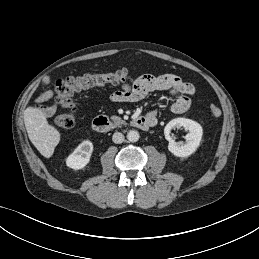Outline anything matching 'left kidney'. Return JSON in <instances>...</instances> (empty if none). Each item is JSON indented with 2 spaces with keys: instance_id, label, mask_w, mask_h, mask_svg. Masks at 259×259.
Listing matches in <instances>:
<instances>
[{
  "instance_id": "1",
  "label": "left kidney",
  "mask_w": 259,
  "mask_h": 259,
  "mask_svg": "<svg viewBox=\"0 0 259 259\" xmlns=\"http://www.w3.org/2000/svg\"><path fill=\"white\" fill-rule=\"evenodd\" d=\"M175 127H183L185 130L189 131L185 136V143H177L171 138V129ZM164 134L165 138L169 141L168 150L172 154L177 157H188L199 147L203 135V129L199 123L191 119L175 118L165 126Z\"/></svg>"
}]
</instances>
